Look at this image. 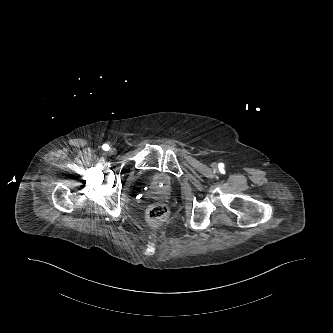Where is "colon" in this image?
Here are the masks:
<instances>
[{
    "label": "colon",
    "mask_w": 333,
    "mask_h": 333,
    "mask_svg": "<svg viewBox=\"0 0 333 333\" xmlns=\"http://www.w3.org/2000/svg\"><path fill=\"white\" fill-rule=\"evenodd\" d=\"M147 215L153 225H158L168 216V208L162 203H156L149 208Z\"/></svg>",
    "instance_id": "obj_1"
}]
</instances>
